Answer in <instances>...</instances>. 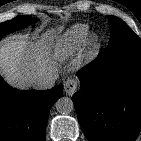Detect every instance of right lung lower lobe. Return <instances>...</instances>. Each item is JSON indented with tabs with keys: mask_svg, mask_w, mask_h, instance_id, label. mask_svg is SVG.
I'll use <instances>...</instances> for the list:
<instances>
[{
	"mask_svg": "<svg viewBox=\"0 0 141 141\" xmlns=\"http://www.w3.org/2000/svg\"><path fill=\"white\" fill-rule=\"evenodd\" d=\"M63 85L45 91H18L0 76V141H43L52 105Z\"/></svg>",
	"mask_w": 141,
	"mask_h": 141,
	"instance_id": "1",
	"label": "right lung lower lobe"
}]
</instances>
